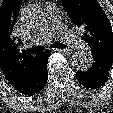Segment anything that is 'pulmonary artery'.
Segmentation results:
<instances>
[{"label":"pulmonary artery","mask_w":113,"mask_h":113,"mask_svg":"<svg viewBox=\"0 0 113 113\" xmlns=\"http://www.w3.org/2000/svg\"><path fill=\"white\" fill-rule=\"evenodd\" d=\"M46 20L44 25L34 37L35 44H41L50 40L55 34L62 32L67 44L74 49H84L85 44L80 38L60 23L59 9L54 4L45 6Z\"/></svg>","instance_id":"1"}]
</instances>
